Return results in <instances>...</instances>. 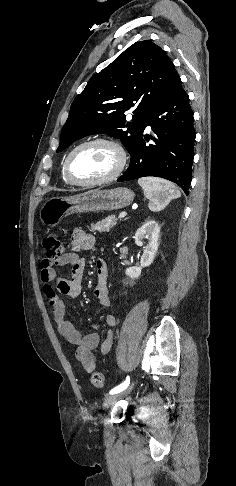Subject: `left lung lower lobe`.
I'll list each match as a JSON object with an SVG mask.
<instances>
[{
    "label": "left lung lower lobe",
    "mask_w": 236,
    "mask_h": 486,
    "mask_svg": "<svg viewBox=\"0 0 236 486\" xmlns=\"http://www.w3.org/2000/svg\"><path fill=\"white\" fill-rule=\"evenodd\" d=\"M189 96L179 78L171 89L151 107L145 127L151 125L156 137L146 145L148 135H141L130 155V165L117 181L145 176L165 178L178 184L188 195L192 179L195 131Z\"/></svg>",
    "instance_id": "1"
}]
</instances>
